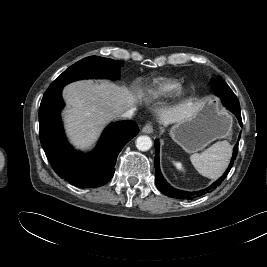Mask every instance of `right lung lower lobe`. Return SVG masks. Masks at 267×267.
Instances as JSON below:
<instances>
[{"label":"right lung lower lobe","mask_w":267,"mask_h":267,"mask_svg":"<svg viewBox=\"0 0 267 267\" xmlns=\"http://www.w3.org/2000/svg\"><path fill=\"white\" fill-rule=\"evenodd\" d=\"M64 106L62 88L42 98L39 108L40 142L59 177L79 187H99L114 175L117 156L139 128L134 121L111 123L103 132L97 149L90 154L76 152L66 141L60 111Z\"/></svg>","instance_id":"1"}]
</instances>
